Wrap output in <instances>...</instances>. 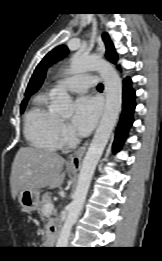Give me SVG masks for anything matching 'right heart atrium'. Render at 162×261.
I'll use <instances>...</instances> for the list:
<instances>
[{"label": "right heart atrium", "mask_w": 162, "mask_h": 261, "mask_svg": "<svg viewBox=\"0 0 162 261\" xmlns=\"http://www.w3.org/2000/svg\"><path fill=\"white\" fill-rule=\"evenodd\" d=\"M57 140L59 146H64L74 140L72 131L63 121H59L57 124Z\"/></svg>", "instance_id": "1"}]
</instances>
